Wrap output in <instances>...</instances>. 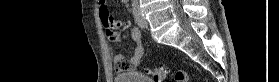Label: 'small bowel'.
I'll return each instance as SVG.
<instances>
[{
    "label": "small bowel",
    "instance_id": "small-bowel-1",
    "mask_svg": "<svg viewBox=\"0 0 279 82\" xmlns=\"http://www.w3.org/2000/svg\"><path fill=\"white\" fill-rule=\"evenodd\" d=\"M99 4L103 6L105 1H100ZM131 27V22L129 20L121 22L115 21L113 27L111 29L106 30V36L111 41L119 40V29H129ZM131 40L134 44L133 54L129 58V60L124 59V55L122 53H117L114 56L115 62V70L117 73L128 72L136 69L144 56V47L142 44L141 32L138 28L134 27L130 32Z\"/></svg>",
    "mask_w": 279,
    "mask_h": 82
}]
</instances>
